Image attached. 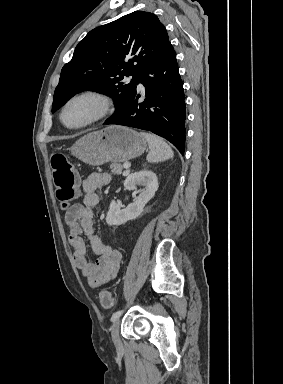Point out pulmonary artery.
Wrapping results in <instances>:
<instances>
[{"mask_svg": "<svg viewBox=\"0 0 283 384\" xmlns=\"http://www.w3.org/2000/svg\"><path fill=\"white\" fill-rule=\"evenodd\" d=\"M139 88H143V85H142V83H140V84H139Z\"/></svg>", "mask_w": 283, "mask_h": 384, "instance_id": "pulmonary-artery-1", "label": "pulmonary artery"}]
</instances>
